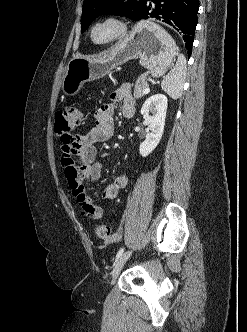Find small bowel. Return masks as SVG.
I'll return each mask as SVG.
<instances>
[{"mask_svg": "<svg viewBox=\"0 0 247 332\" xmlns=\"http://www.w3.org/2000/svg\"><path fill=\"white\" fill-rule=\"evenodd\" d=\"M120 105L122 115L131 118L135 114V100L132 97L131 89L122 85L111 93V102L100 106L95 114V126L84 136L77 137L75 144L61 146L60 159L64 170V176L73 196L77 199L82 214L91 219H99L103 210L94 204L93 198L89 195L84 184L90 180L95 185L100 177L102 163L96 159V144L109 140L114 135L113 114ZM79 159V163L75 161ZM128 178L124 174L117 175L101 193V198L111 200L117 197L120 190L126 187ZM109 240V241H113Z\"/></svg>", "mask_w": 247, "mask_h": 332, "instance_id": "small-bowel-1", "label": "small bowel"}]
</instances>
